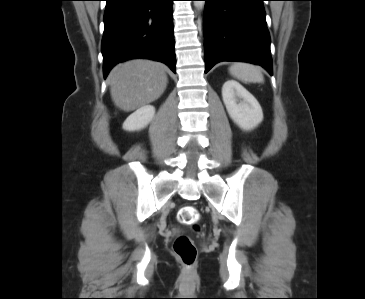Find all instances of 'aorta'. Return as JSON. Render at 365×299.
<instances>
[{
    "label": "aorta",
    "instance_id": "obj_1",
    "mask_svg": "<svg viewBox=\"0 0 365 299\" xmlns=\"http://www.w3.org/2000/svg\"><path fill=\"white\" fill-rule=\"evenodd\" d=\"M205 2L204 1H194V5L196 7H200L202 8L204 6Z\"/></svg>",
    "mask_w": 365,
    "mask_h": 299
}]
</instances>
